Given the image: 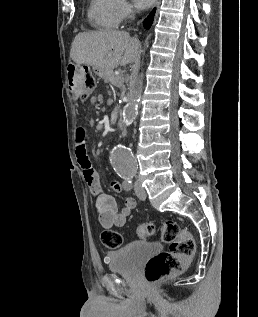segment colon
I'll use <instances>...</instances> for the list:
<instances>
[{"mask_svg": "<svg viewBox=\"0 0 258 317\" xmlns=\"http://www.w3.org/2000/svg\"><path fill=\"white\" fill-rule=\"evenodd\" d=\"M81 93L91 94L95 87V77L89 70H82ZM161 239L169 245V249L150 258L145 265V278L149 284H155L167 276L182 271L196 252V243L191 233L180 228L177 222L168 220L160 226ZM156 233L152 223L139 225L137 234L142 239H150ZM102 244L109 249L122 246V235L114 230H105L101 234Z\"/></svg>", "mask_w": 258, "mask_h": 317, "instance_id": "5ec220e1", "label": "colon"}]
</instances>
